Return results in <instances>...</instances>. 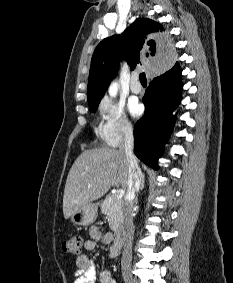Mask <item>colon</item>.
I'll list each match as a JSON object with an SVG mask.
<instances>
[{
    "label": "colon",
    "instance_id": "colon-1",
    "mask_svg": "<svg viewBox=\"0 0 233 283\" xmlns=\"http://www.w3.org/2000/svg\"><path fill=\"white\" fill-rule=\"evenodd\" d=\"M83 239L79 235L72 236L62 244V248L73 256H79L82 252Z\"/></svg>",
    "mask_w": 233,
    "mask_h": 283
}]
</instances>
